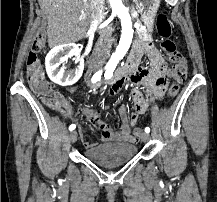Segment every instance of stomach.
<instances>
[{
	"instance_id": "1",
	"label": "stomach",
	"mask_w": 217,
	"mask_h": 202,
	"mask_svg": "<svg viewBox=\"0 0 217 202\" xmlns=\"http://www.w3.org/2000/svg\"><path fill=\"white\" fill-rule=\"evenodd\" d=\"M147 32H153L154 22L161 0H134Z\"/></svg>"
}]
</instances>
